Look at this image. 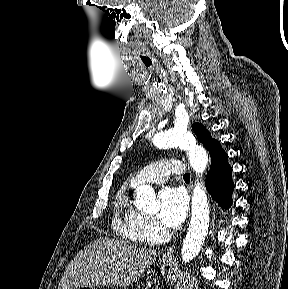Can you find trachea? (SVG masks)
Returning a JSON list of instances; mask_svg holds the SVG:
<instances>
[{"instance_id": "obj_1", "label": "trachea", "mask_w": 288, "mask_h": 289, "mask_svg": "<svg viewBox=\"0 0 288 289\" xmlns=\"http://www.w3.org/2000/svg\"><path fill=\"white\" fill-rule=\"evenodd\" d=\"M141 59L147 68L150 69L153 67V62L148 56H145V55L141 56ZM183 178L184 180H190V174L189 173L184 174Z\"/></svg>"}]
</instances>
